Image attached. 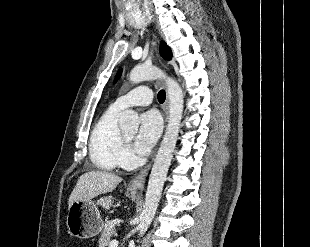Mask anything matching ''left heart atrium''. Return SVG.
Masks as SVG:
<instances>
[{
    "mask_svg": "<svg viewBox=\"0 0 310 247\" xmlns=\"http://www.w3.org/2000/svg\"><path fill=\"white\" fill-rule=\"evenodd\" d=\"M161 130V119L155 111L143 113L134 143L136 152L141 155L148 153L160 137Z\"/></svg>",
    "mask_w": 310,
    "mask_h": 247,
    "instance_id": "obj_1",
    "label": "left heart atrium"
}]
</instances>
